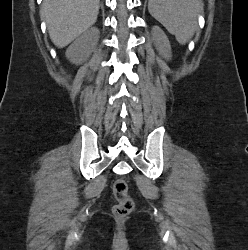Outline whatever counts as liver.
<instances>
[{"label":"liver","mask_w":248,"mask_h":250,"mask_svg":"<svg viewBox=\"0 0 248 250\" xmlns=\"http://www.w3.org/2000/svg\"><path fill=\"white\" fill-rule=\"evenodd\" d=\"M99 0H44V17L51 41L63 48L97 20Z\"/></svg>","instance_id":"liver-1"}]
</instances>
